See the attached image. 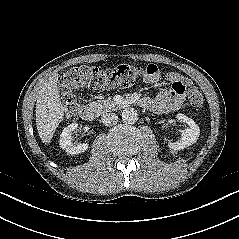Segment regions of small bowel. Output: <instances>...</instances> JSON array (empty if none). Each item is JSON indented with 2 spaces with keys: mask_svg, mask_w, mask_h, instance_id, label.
Masks as SVG:
<instances>
[{
  "mask_svg": "<svg viewBox=\"0 0 239 239\" xmlns=\"http://www.w3.org/2000/svg\"><path fill=\"white\" fill-rule=\"evenodd\" d=\"M168 80L172 82V86L160 92L153 99L147 100V109L155 113H166L178 109L184 100L183 94L185 86L190 83L186 78H181L174 73L167 76ZM161 80V73L158 67L154 64H149L145 69L144 81L148 84H156Z\"/></svg>",
  "mask_w": 239,
  "mask_h": 239,
  "instance_id": "c3829d8e",
  "label": "small bowel"
}]
</instances>
